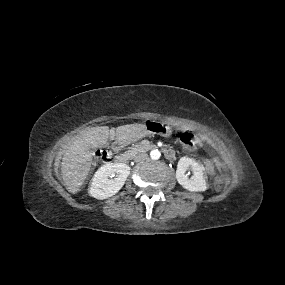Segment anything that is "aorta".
Returning a JSON list of instances; mask_svg holds the SVG:
<instances>
[{
  "label": "aorta",
  "instance_id": "762f6f07",
  "mask_svg": "<svg viewBox=\"0 0 285 285\" xmlns=\"http://www.w3.org/2000/svg\"><path fill=\"white\" fill-rule=\"evenodd\" d=\"M160 156H161V153H160V151L157 150V149H153V150L150 152V157H151V159H153V160L159 159Z\"/></svg>",
  "mask_w": 285,
  "mask_h": 285
}]
</instances>
